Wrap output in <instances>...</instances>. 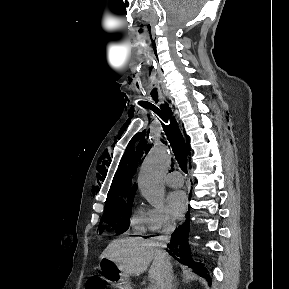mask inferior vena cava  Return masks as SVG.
Instances as JSON below:
<instances>
[{
    "label": "inferior vena cava",
    "mask_w": 289,
    "mask_h": 289,
    "mask_svg": "<svg viewBox=\"0 0 289 289\" xmlns=\"http://www.w3.org/2000/svg\"><path fill=\"white\" fill-rule=\"evenodd\" d=\"M175 229V224H166L163 229L164 236L161 237L163 243L168 242L170 239L171 233ZM162 275L158 282L159 289H173V271L170 263L166 261L165 254L162 253Z\"/></svg>",
    "instance_id": "inferior-vena-cava-1"
}]
</instances>
